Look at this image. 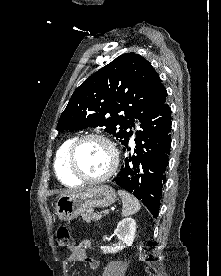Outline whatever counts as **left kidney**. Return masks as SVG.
<instances>
[{"instance_id":"5707ae66","label":"left kidney","mask_w":221,"mask_h":276,"mask_svg":"<svg viewBox=\"0 0 221 276\" xmlns=\"http://www.w3.org/2000/svg\"><path fill=\"white\" fill-rule=\"evenodd\" d=\"M136 232V222L132 218H125L121 220L117 228L114 230V234L118 239L126 246H131L133 244ZM125 246H116L111 249L107 247H101L104 254L106 253H117L122 250Z\"/></svg>"}]
</instances>
